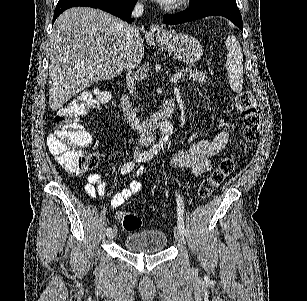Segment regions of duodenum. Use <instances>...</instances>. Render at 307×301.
I'll return each instance as SVG.
<instances>
[{"label": "duodenum", "instance_id": "410a0bca", "mask_svg": "<svg viewBox=\"0 0 307 301\" xmlns=\"http://www.w3.org/2000/svg\"><path fill=\"white\" fill-rule=\"evenodd\" d=\"M121 106L123 113L135 130L139 132H150L158 127L162 121L173 115L176 109V100L174 97H170L165 101L160 110L145 119H141L135 113L127 93H124L121 97Z\"/></svg>", "mask_w": 307, "mask_h": 301}]
</instances>
